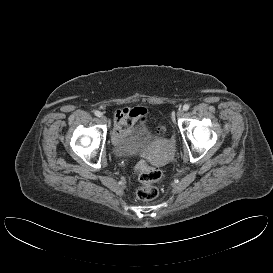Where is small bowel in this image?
<instances>
[{
    "label": "small bowel",
    "mask_w": 273,
    "mask_h": 273,
    "mask_svg": "<svg viewBox=\"0 0 273 273\" xmlns=\"http://www.w3.org/2000/svg\"><path fill=\"white\" fill-rule=\"evenodd\" d=\"M147 110L143 107L117 110L114 114V130L112 139L119 141L124 137L134 135L145 122Z\"/></svg>",
    "instance_id": "c3829d8e"
}]
</instances>
